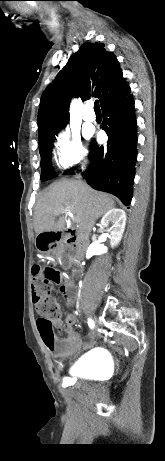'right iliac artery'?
I'll use <instances>...</instances> for the list:
<instances>
[{
  "mask_svg": "<svg viewBox=\"0 0 165 461\" xmlns=\"http://www.w3.org/2000/svg\"><path fill=\"white\" fill-rule=\"evenodd\" d=\"M88 324L91 328L94 327V322L91 319L88 320Z\"/></svg>",
  "mask_w": 165,
  "mask_h": 461,
  "instance_id": "right-iliac-artery-1",
  "label": "right iliac artery"
}]
</instances>
